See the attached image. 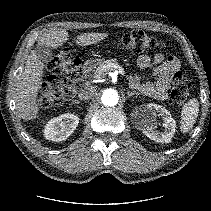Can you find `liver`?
Listing matches in <instances>:
<instances>
[{
	"label": "liver",
	"instance_id": "1",
	"mask_svg": "<svg viewBox=\"0 0 211 211\" xmlns=\"http://www.w3.org/2000/svg\"><path fill=\"white\" fill-rule=\"evenodd\" d=\"M107 36V33H84L77 37L76 44L80 46L91 45ZM68 40V32L65 29H52L39 37L36 47L47 45L56 49ZM43 70L44 64L39 60L36 50H32L27 57L22 74L11 90L18 116L26 121L36 119L39 112L37 97L42 84Z\"/></svg>",
	"mask_w": 211,
	"mask_h": 211
}]
</instances>
